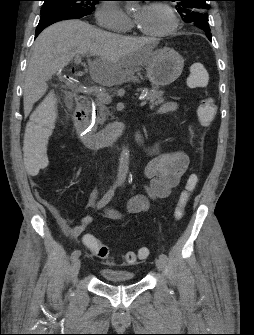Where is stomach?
<instances>
[{
  "label": "stomach",
  "mask_w": 254,
  "mask_h": 335,
  "mask_svg": "<svg viewBox=\"0 0 254 335\" xmlns=\"http://www.w3.org/2000/svg\"><path fill=\"white\" fill-rule=\"evenodd\" d=\"M183 67V57L174 49L164 47L152 52L146 66L147 78L154 88L165 87L180 77Z\"/></svg>",
  "instance_id": "1"
}]
</instances>
